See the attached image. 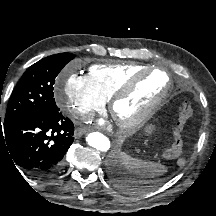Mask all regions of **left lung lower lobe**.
<instances>
[{
    "label": "left lung lower lobe",
    "instance_id": "1",
    "mask_svg": "<svg viewBox=\"0 0 216 216\" xmlns=\"http://www.w3.org/2000/svg\"><path fill=\"white\" fill-rule=\"evenodd\" d=\"M112 175L115 183L127 191H137L139 189V185L132 178L124 172L122 166L119 162L114 161L111 166Z\"/></svg>",
    "mask_w": 216,
    "mask_h": 216
}]
</instances>
